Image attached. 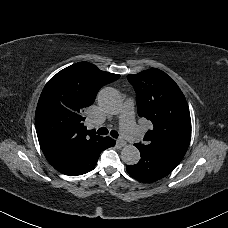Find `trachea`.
<instances>
[{"mask_svg":"<svg viewBox=\"0 0 228 228\" xmlns=\"http://www.w3.org/2000/svg\"><path fill=\"white\" fill-rule=\"evenodd\" d=\"M108 129L106 128V127H101V128H99L98 130H97V134H99V135H107L108 134ZM110 135L112 136V137H114V138H118V136H119V134H118V132L116 131V130H112L111 132H110Z\"/></svg>","mask_w":228,"mask_h":228,"instance_id":"1","label":"trachea"}]
</instances>
